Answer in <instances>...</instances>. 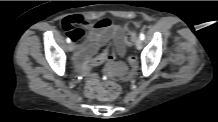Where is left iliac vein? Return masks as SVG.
<instances>
[{
  "label": "left iliac vein",
  "mask_w": 218,
  "mask_h": 122,
  "mask_svg": "<svg viewBox=\"0 0 218 122\" xmlns=\"http://www.w3.org/2000/svg\"><path fill=\"white\" fill-rule=\"evenodd\" d=\"M136 48H137L138 50H141V49H142V40H141L140 38H138V39L136 40Z\"/></svg>",
  "instance_id": "1"
}]
</instances>
